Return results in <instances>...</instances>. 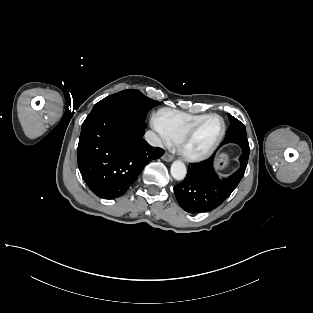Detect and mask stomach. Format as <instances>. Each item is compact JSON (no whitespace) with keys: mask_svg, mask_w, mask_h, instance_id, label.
I'll list each match as a JSON object with an SVG mask.
<instances>
[{"mask_svg":"<svg viewBox=\"0 0 313 313\" xmlns=\"http://www.w3.org/2000/svg\"><path fill=\"white\" fill-rule=\"evenodd\" d=\"M228 162V158L226 155H220V158L217 161V167L218 168H222L225 167L227 165Z\"/></svg>","mask_w":313,"mask_h":313,"instance_id":"obj_1","label":"stomach"}]
</instances>
